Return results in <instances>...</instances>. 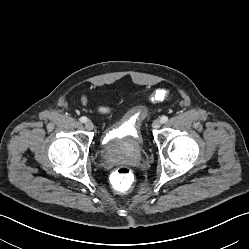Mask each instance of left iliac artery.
Instances as JSON below:
<instances>
[{
  "label": "left iliac artery",
  "instance_id": "left-iliac-artery-1",
  "mask_svg": "<svg viewBox=\"0 0 249 249\" xmlns=\"http://www.w3.org/2000/svg\"><path fill=\"white\" fill-rule=\"evenodd\" d=\"M160 121H161V123H166L168 121V117L167 116H162Z\"/></svg>",
  "mask_w": 249,
  "mask_h": 249
}]
</instances>
